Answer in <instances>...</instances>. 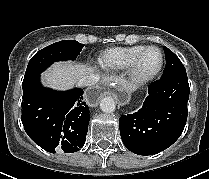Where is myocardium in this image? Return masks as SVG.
<instances>
[{
	"label": "myocardium",
	"mask_w": 209,
	"mask_h": 179,
	"mask_svg": "<svg viewBox=\"0 0 209 179\" xmlns=\"http://www.w3.org/2000/svg\"><path fill=\"white\" fill-rule=\"evenodd\" d=\"M149 49H156L160 53V63L156 70L148 74H140L138 72V64L142 57V55ZM164 53L162 49L155 45L145 46L141 49L131 60L129 66L127 67V75L128 79L132 86L134 87H142L152 81L154 78L158 76L164 66Z\"/></svg>",
	"instance_id": "f54148a6"
}]
</instances>
